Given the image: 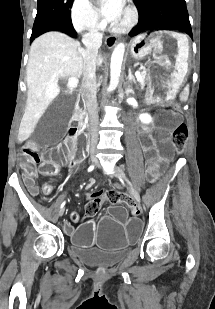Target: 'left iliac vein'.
<instances>
[{"instance_id": "4c4485c4", "label": "left iliac vein", "mask_w": 215, "mask_h": 309, "mask_svg": "<svg viewBox=\"0 0 215 309\" xmlns=\"http://www.w3.org/2000/svg\"><path fill=\"white\" fill-rule=\"evenodd\" d=\"M97 164H98V161H97ZM117 176L120 178V180L122 181H126L129 185V191L131 193V195L134 197V199L140 203V196H139V193L131 186L129 180L127 179L126 177V174L120 170V169H117Z\"/></svg>"}]
</instances>
